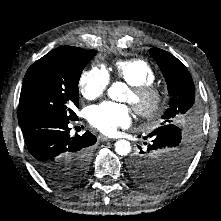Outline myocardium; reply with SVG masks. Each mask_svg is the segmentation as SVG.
I'll list each match as a JSON object with an SVG mask.
<instances>
[{
  "label": "myocardium",
  "instance_id": "obj_1",
  "mask_svg": "<svg viewBox=\"0 0 221 221\" xmlns=\"http://www.w3.org/2000/svg\"><path fill=\"white\" fill-rule=\"evenodd\" d=\"M130 92L132 94L131 103L133 108L141 118H155L166 106V92L156 84L132 86Z\"/></svg>",
  "mask_w": 221,
  "mask_h": 221
}]
</instances>
